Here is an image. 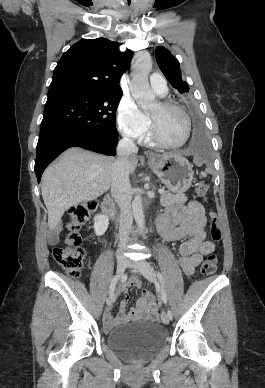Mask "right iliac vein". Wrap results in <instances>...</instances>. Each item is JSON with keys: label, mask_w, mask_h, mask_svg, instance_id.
Instances as JSON below:
<instances>
[{"label": "right iliac vein", "mask_w": 265, "mask_h": 388, "mask_svg": "<svg viewBox=\"0 0 265 388\" xmlns=\"http://www.w3.org/2000/svg\"><path fill=\"white\" fill-rule=\"evenodd\" d=\"M126 267H127L126 259H124L122 257L118 258V260H117V269H116L118 277L122 276V274L124 273ZM114 301H115V295L113 293V294H111L107 298L106 303H107L108 306H110V305H112L114 303Z\"/></svg>", "instance_id": "right-iliac-vein-1"}]
</instances>
